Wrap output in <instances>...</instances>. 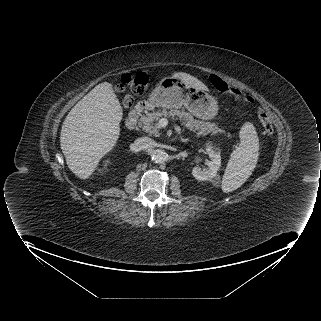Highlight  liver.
I'll use <instances>...</instances> for the list:
<instances>
[{"mask_svg":"<svg viewBox=\"0 0 321 321\" xmlns=\"http://www.w3.org/2000/svg\"><path fill=\"white\" fill-rule=\"evenodd\" d=\"M187 85L207 90L200 80L184 72L174 73ZM123 110L112 84L100 83L85 95L66 116L60 146L68 168L88 179L100 160L116 145Z\"/></svg>","mask_w":321,"mask_h":321,"instance_id":"liver-1","label":"liver"}]
</instances>
